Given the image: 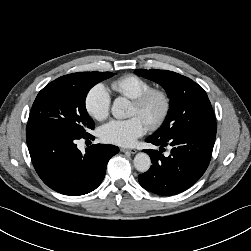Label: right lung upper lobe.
I'll return each instance as SVG.
<instances>
[{"mask_svg": "<svg viewBox=\"0 0 251 251\" xmlns=\"http://www.w3.org/2000/svg\"><path fill=\"white\" fill-rule=\"evenodd\" d=\"M79 73H74V74H69V75H65V76H62V77H59L57 80H70V79H74L76 78L79 74Z\"/></svg>", "mask_w": 251, "mask_h": 251, "instance_id": "1", "label": "right lung upper lobe"}]
</instances>
